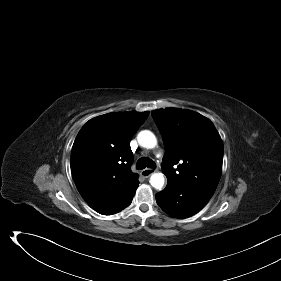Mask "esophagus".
I'll use <instances>...</instances> for the list:
<instances>
[{
    "label": "esophagus",
    "mask_w": 281,
    "mask_h": 281,
    "mask_svg": "<svg viewBox=\"0 0 281 281\" xmlns=\"http://www.w3.org/2000/svg\"><path fill=\"white\" fill-rule=\"evenodd\" d=\"M156 171V169L154 168H146L144 170L141 171L142 176L144 177H149L150 175H152L154 172Z\"/></svg>",
    "instance_id": "esophagus-1"
}]
</instances>
